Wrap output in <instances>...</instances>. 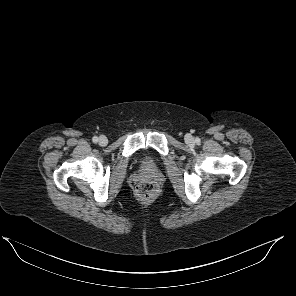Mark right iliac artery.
<instances>
[{
	"instance_id": "obj_1",
	"label": "right iliac artery",
	"mask_w": 296,
	"mask_h": 296,
	"mask_svg": "<svg viewBox=\"0 0 296 296\" xmlns=\"http://www.w3.org/2000/svg\"><path fill=\"white\" fill-rule=\"evenodd\" d=\"M92 140H93L94 143H97V142H98V137H97V136H94V137L92 138Z\"/></svg>"
}]
</instances>
